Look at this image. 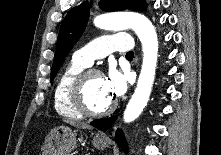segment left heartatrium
Segmentation results:
<instances>
[{
  "label": "left heart atrium",
  "instance_id": "obj_1",
  "mask_svg": "<svg viewBox=\"0 0 221 155\" xmlns=\"http://www.w3.org/2000/svg\"><path fill=\"white\" fill-rule=\"evenodd\" d=\"M105 86L111 97L114 99L124 94L127 88L126 76L111 68L104 77Z\"/></svg>",
  "mask_w": 221,
  "mask_h": 155
}]
</instances>
